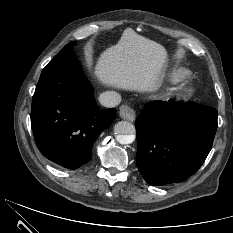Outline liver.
Instances as JSON below:
<instances>
[{
  "instance_id": "obj_1",
  "label": "liver",
  "mask_w": 233,
  "mask_h": 233,
  "mask_svg": "<svg viewBox=\"0 0 233 233\" xmlns=\"http://www.w3.org/2000/svg\"><path fill=\"white\" fill-rule=\"evenodd\" d=\"M166 61L167 52L162 45L126 30L117 45L100 55L95 75L108 86L152 91L158 87Z\"/></svg>"
}]
</instances>
